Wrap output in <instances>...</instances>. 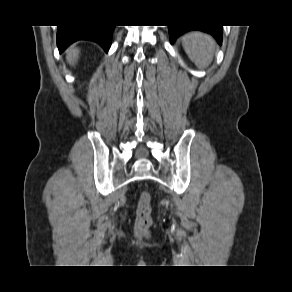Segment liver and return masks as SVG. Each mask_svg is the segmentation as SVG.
Listing matches in <instances>:
<instances>
[{"label":"liver","instance_id":"6515ba94","mask_svg":"<svg viewBox=\"0 0 292 292\" xmlns=\"http://www.w3.org/2000/svg\"><path fill=\"white\" fill-rule=\"evenodd\" d=\"M78 58V50L73 48L70 50L67 59L71 64H74L76 62V59Z\"/></svg>","mask_w":292,"mask_h":292}]
</instances>
